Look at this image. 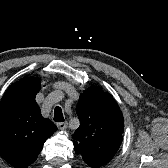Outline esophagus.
Listing matches in <instances>:
<instances>
[{
  "label": "esophagus",
  "mask_w": 168,
  "mask_h": 168,
  "mask_svg": "<svg viewBox=\"0 0 168 168\" xmlns=\"http://www.w3.org/2000/svg\"><path fill=\"white\" fill-rule=\"evenodd\" d=\"M57 126H58L59 129L64 130V129L67 128L68 123H67V121L61 122V123H58Z\"/></svg>",
  "instance_id": "34e87169"
}]
</instances>
